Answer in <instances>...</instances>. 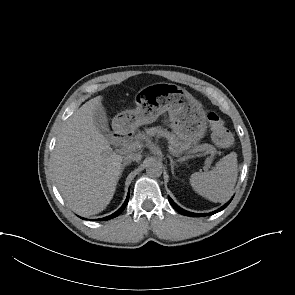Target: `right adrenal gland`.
Segmentation results:
<instances>
[{
	"label": "right adrenal gland",
	"mask_w": 295,
	"mask_h": 295,
	"mask_svg": "<svg viewBox=\"0 0 295 295\" xmlns=\"http://www.w3.org/2000/svg\"><path fill=\"white\" fill-rule=\"evenodd\" d=\"M129 164H130V162H124V163L122 164V166H121V170H120L119 178L122 176V172H123L125 166H127V165H129Z\"/></svg>",
	"instance_id": "1"
}]
</instances>
